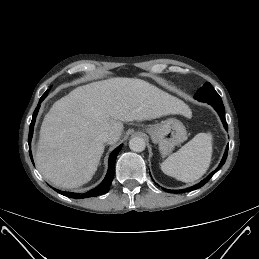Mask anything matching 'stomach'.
Instances as JSON below:
<instances>
[{"label":"stomach","mask_w":259,"mask_h":259,"mask_svg":"<svg viewBox=\"0 0 259 259\" xmlns=\"http://www.w3.org/2000/svg\"><path fill=\"white\" fill-rule=\"evenodd\" d=\"M153 143L158 144L162 156L169 155L175 146L183 143L187 138V131L181 121L168 118L158 125L147 128Z\"/></svg>","instance_id":"stomach-1"}]
</instances>
